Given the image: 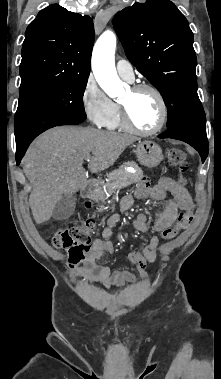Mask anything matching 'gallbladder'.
I'll return each instance as SVG.
<instances>
[{"instance_id": "1", "label": "gallbladder", "mask_w": 221, "mask_h": 379, "mask_svg": "<svg viewBox=\"0 0 221 379\" xmlns=\"http://www.w3.org/2000/svg\"><path fill=\"white\" fill-rule=\"evenodd\" d=\"M76 196L73 194H63L53 209V218L55 220H65L69 218L76 207Z\"/></svg>"}]
</instances>
